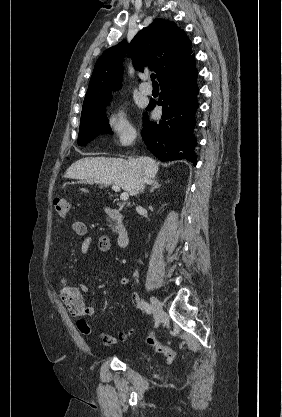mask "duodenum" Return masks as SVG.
I'll return each mask as SVG.
<instances>
[{
    "label": "duodenum",
    "mask_w": 282,
    "mask_h": 417,
    "mask_svg": "<svg viewBox=\"0 0 282 417\" xmlns=\"http://www.w3.org/2000/svg\"><path fill=\"white\" fill-rule=\"evenodd\" d=\"M105 213L106 215L114 220L118 226H117V241L118 245L121 249L127 248L128 242H129V233L127 229L123 226L122 220L123 215L122 213L114 208V207H105Z\"/></svg>",
    "instance_id": "duodenum-1"
}]
</instances>
